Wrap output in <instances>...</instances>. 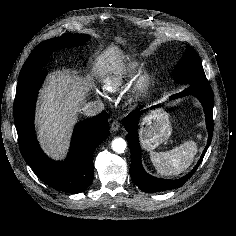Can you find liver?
I'll return each mask as SVG.
<instances>
[{"label": "liver", "mask_w": 236, "mask_h": 236, "mask_svg": "<svg viewBox=\"0 0 236 236\" xmlns=\"http://www.w3.org/2000/svg\"><path fill=\"white\" fill-rule=\"evenodd\" d=\"M123 58L116 46H109L95 58L92 73L85 78L69 70L48 76L40 93L36 124L39 142L52 159H62L67 153L73 125L94 86L93 75L117 78L124 69Z\"/></svg>", "instance_id": "obj_1"}]
</instances>
